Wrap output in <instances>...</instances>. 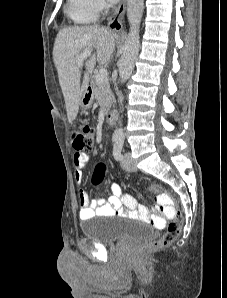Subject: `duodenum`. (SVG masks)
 <instances>
[{"mask_svg": "<svg viewBox=\"0 0 227 298\" xmlns=\"http://www.w3.org/2000/svg\"><path fill=\"white\" fill-rule=\"evenodd\" d=\"M86 95L90 96L92 94L91 87H87L85 91ZM117 119V112L115 110L108 111L106 115V122L109 126H113Z\"/></svg>", "mask_w": 227, "mask_h": 298, "instance_id": "duodenum-1", "label": "duodenum"}]
</instances>
